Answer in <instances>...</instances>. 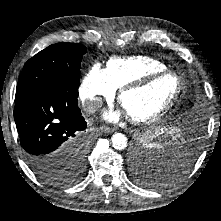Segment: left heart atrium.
Listing matches in <instances>:
<instances>
[{
  "instance_id": "1",
  "label": "left heart atrium",
  "mask_w": 221,
  "mask_h": 221,
  "mask_svg": "<svg viewBox=\"0 0 221 221\" xmlns=\"http://www.w3.org/2000/svg\"><path fill=\"white\" fill-rule=\"evenodd\" d=\"M124 114L123 110L109 111L104 114V117L113 122L119 120Z\"/></svg>"
}]
</instances>
